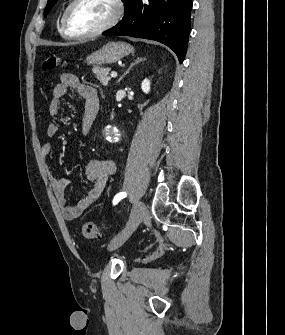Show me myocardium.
Listing matches in <instances>:
<instances>
[{
    "label": "myocardium",
    "mask_w": 285,
    "mask_h": 335,
    "mask_svg": "<svg viewBox=\"0 0 285 335\" xmlns=\"http://www.w3.org/2000/svg\"><path fill=\"white\" fill-rule=\"evenodd\" d=\"M84 1H72L71 4L68 7L66 18L68 22V29L70 31L69 35L71 38L75 39H81V38H91L96 37L107 30H109L111 27H113L122 17L123 15V1H106L110 6L112 7L113 13L110 19L103 24L101 27L90 30V31H82L79 29H76L73 23V16L76 6Z\"/></svg>",
    "instance_id": "obj_1"
}]
</instances>
